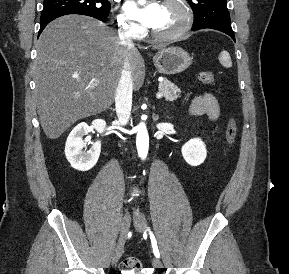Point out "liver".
<instances>
[{
	"label": "liver",
	"mask_w": 289,
	"mask_h": 274,
	"mask_svg": "<svg viewBox=\"0 0 289 274\" xmlns=\"http://www.w3.org/2000/svg\"><path fill=\"white\" fill-rule=\"evenodd\" d=\"M36 49L37 112L49 139L113 104L126 58L135 90L145 78L144 60L134 44L124 46L115 31L88 16L66 15L52 21Z\"/></svg>",
	"instance_id": "obj_1"
}]
</instances>
